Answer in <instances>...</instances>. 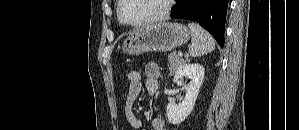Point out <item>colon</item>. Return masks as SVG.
Instances as JSON below:
<instances>
[{
    "label": "colon",
    "mask_w": 299,
    "mask_h": 130,
    "mask_svg": "<svg viewBox=\"0 0 299 130\" xmlns=\"http://www.w3.org/2000/svg\"><path fill=\"white\" fill-rule=\"evenodd\" d=\"M129 86L137 85L142 81L141 73L138 70H130L127 73Z\"/></svg>",
    "instance_id": "1"
}]
</instances>
